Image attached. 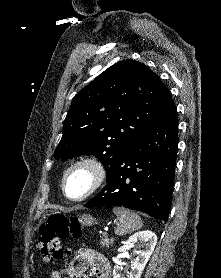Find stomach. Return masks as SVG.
<instances>
[{
    "label": "stomach",
    "mask_w": 221,
    "mask_h": 278,
    "mask_svg": "<svg viewBox=\"0 0 221 278\" xmlns=\"http://www.w3.org/2000/svg\"><path fill=\"white\" fill-rule=\"evenodd\" d=\"M78 221L83 226H91L94 223V218L91 215L84 214L78 218Z\"/></svg>",
    "instance_id": "1"
}]
</instances>
